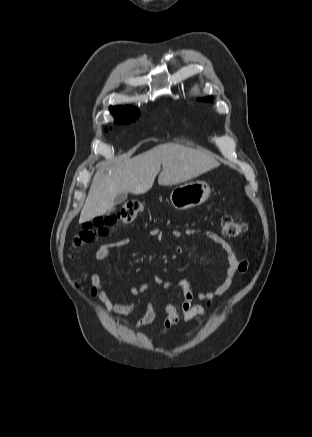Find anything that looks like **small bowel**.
<instances>
[{
	"label": "small bowel",
	"mask_w": 312,
	"mask_h": 437,
	"mask_svg": "<svg viewBox=\"0 0 312 437\" xmlns=\"http://www.w3.org/2000/svg\"><path fill=\"white\" fill-rule=\"evenodd\" d=\"M197 233L204 234L207 238L214 241L219 246L227 262L225 277L222 283L215 289L199 293H195L192 290L191 284L187 279L178 280L177 286L183 291V301L180 305H177L170 301H167L165 303V319L162 329L160 330V335L166 334L169 329H171L178 323L180 313L183 320L186 322L198 320L199 318L204 316L207 312V309L211 307L213 302L217 298L223 296L228 291L232 284L234 276L237 273H244L248 268V261L246 259L239 258L233 251L231 245L223 240L216 233L208 230L201 231L199 229H187L185 231L186 235H194ZM151 235L156 238L162 237V233L159 230H153L151 232ZM183 235L184 233L179 230L172 231V236L174 238L180 239L183 237ZM130 244H132L131 239H122L115 242L101 244L95 252V260L97 262L104 261L110 256L111 251L114 247L127 246ZM89 278L91 283L92 295L97 297L108 311L122 316H128L135 312L136 305L134 303H123L117 299L112 300L109 294L105 291L98 273L92 272ZM154 282L161 285L165 290L171 288V283L163 281L159 277H155ZM149 287L150 286L148 283H143L139 287H133L131 289V292L134 295H138L140 293L146 292ZM202 302L204 304H202ZM155 317V306L152 302H149L146 306L144 314L136 322L134 326L135 329H140L147 326L155 319Z\"/></svg>",
	"instance_id": "1"
}]
</instances>
